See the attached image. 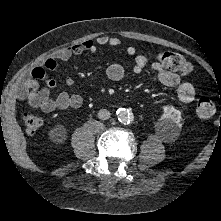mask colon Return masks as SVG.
Segmentation results:
<instances>
[{
	"mask_svg": "<svg viewBox=\"0 0 221 221\" xmlns=\"http://www.w3.org/2000/svg\"><path fill=\"white\" fill-rule=\"evenodd\" d=\"M159 63L167 70L178 72L181 75H189L192 72V65L182 55L165 51L157 56ZM215 110L214 101L209 93H203L197 102L196 113L202 120L212 117ZM23 125L27 133L35 134L42 126L43 120L40 116L26 112L22 117Z\"/></svg>",
	"mask_w": 221,
	"mask_h": 221,
	"instance_id": "1",
	"label": "colon"
}]
</instances>
